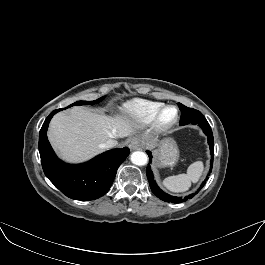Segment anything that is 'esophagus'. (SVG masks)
<instances>
[{"label": "esophagus", "mask_w": 265, "mask_h": 265, "mask_svg": "<svg viewBox=\"0 0 265 265\" xmlns=\"http://www.w3.org/2000/svg\"><path fill=\"white\" fill-rule=\"evenodd\" d=\"M129 147L132 150H138L143 147V141L140 138L134 137L130 140Z\"/></svg>", "instance_id": "esophagus-1"}]
</instances>
